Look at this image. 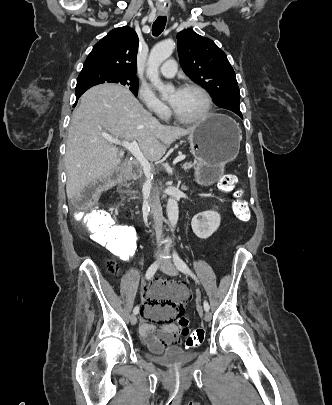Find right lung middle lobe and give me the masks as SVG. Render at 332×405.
I'll list each match as a JSON object with an SVG mask.
<instances>
[{"mask_svg":"<svg viewBox=\"0 0 332 405\" xmlns=\"http://www.w3.org/2000/svg\"><path fill=\"white\" fill-rule=\"evenodd\" d=\"M107 82L123 85L130 89L135 96L138 95L139 81L137 77L109 70L81 72L77 79L76 93L85 92L94 85Z\"/></svg>","mask_w":332,"mask_h":405,"instance_id":"obj_1","label":"right lung middle lobe"}]
</instances>
